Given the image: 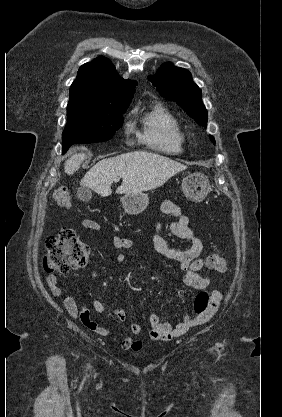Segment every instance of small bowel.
<instances>
[{
    "label": "small bowel",
    "instance_id": "obj_1",
    "mask_svg": "<svg viewBox=\"0 0 282 417\" xmlns=\"http://www.w3.org/2000/svg\"><path fill=\"white\" fill-rule=\"evenodd\" d=\"M161 211L164 214L175 217V221L169 225L170 232L174 236L188 241L190 245L184 249L169 246L165 238L161 235L162 224L157 223L155 226V233L152 238L155 251L165 259L178 264L179 270L182 274L183 284L186 287L198 291L205 290L209 285V278L206 275L201 274L200 271L206 267L208 261L200 257L203 249L201 239L197 237L190 228L188 217L182 212L181 208L177 204L166 200L161 204ZM80 225L82 228L88 230L97 232L104 231L103 226L93 220L85 219L81 221ZM109 242L115 250V259L118 262H123L126 258L125 252L133 247V240L127 237L112 236L109 238ZM90 275L95 278L98 274L95 270H92ZM46 282L54 297L62 296L63 291L58 286L57 277L55 275H48ZM222 298V294L219 291H212L210 293L209 305L204 313L198 315L184 314L176 324L163 322L156 313H151L148 318V335L150 339L157 341H169L183 335L191 328L200 327L208 323L219 311ZM63 303L68 314L72 318L79 320L88 330L96 332L102 336H108L110 334V331L107 328L99 326L95 321L96 315L102 314L107 310L105 305L100 300L96 299L93 301L94 313L90 312V310L86 307L79 310L75 299L69 293L65 295ZM84 310H88L89 312L85 318L83 317ZM112 313L119 321L123 322L126 320L127 315L125 310L115 308L112 310ZM141 331V325L132 324L129 327V335L126 336L121 342V349L132 352L141 351L143 343L140 339L135 338V336Z\"/></svg>",
    "mask_w": 282,
    "mask_h": 417
}]
</instances>
